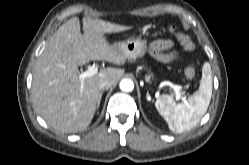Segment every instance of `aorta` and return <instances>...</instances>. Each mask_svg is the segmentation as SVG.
I'll return each mask as SVG.
<instances>
[{
    "mask_svg": "<svg viewBox=\"0 0 249 165\" xmlns=\"http://www.w3.org/2000/svg\"><path fill=\"white\" fill-rule=\"evenodd\" d=\"M119 87L124 92H131L134 89V83L129 78H124L120 81Z\"/></svg>",
    "mask_w": 249,
    "mask_h": 165,
    "instance_id": "762f6f07",
    "label": "aorta"
}]
</instances>
